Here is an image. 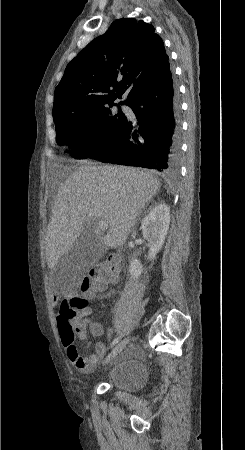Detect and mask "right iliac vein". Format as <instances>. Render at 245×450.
<instances>
[{
	"label": "right iliac vein",
	"instance_id": "63e3f726",
	"mask_svg": "<svg viewBox=\"0 0 245 450\" xmlns=\"http://www.w3.org/2000/svg\"><path fill=\"white\" fill-rule=\"evenodd\" d=\"M128 342H129V338H126L123 341H121L107 356V358L104 361V364H107L108 362H110L111 359H113L118 353H120L125 348V346L128 344Z\"/></svg>",
	"mask_w": 245,
	"mask_h": 450
}]
</instances>
